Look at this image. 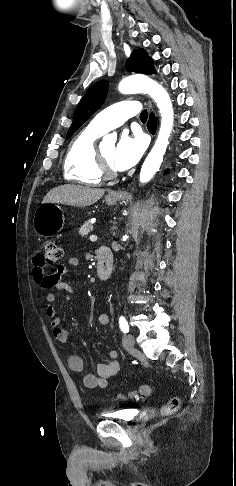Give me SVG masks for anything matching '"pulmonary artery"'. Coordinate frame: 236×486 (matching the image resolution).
Masks as SVG:
<instances>
[{"mask_svg":"<svg viewBox=\"0 0 236 486\" xmlns=\"http://www.w3.org/2000/svg\"><path fill=\"white\" fill-rule=\"evenodd\" d=\"M141 110L138 101H121L98 113L89 123V128L99 134L121 126Z\"/></svg>","mask_w":236,"mask_h":486,"instance_id":"e3ab8cb5","label":"pulmonary artery"}]
</instances>
